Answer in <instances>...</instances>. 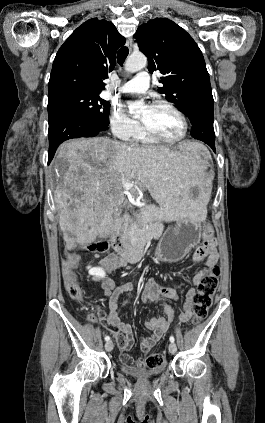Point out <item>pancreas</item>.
Segmentation results:
<instances>
[{
	"label": "pancreas",
	"instance_id": "obj_1",
	"mask_svg": "<svg viewBox=\"0 0 265 423\" xmlns=\"http://www.w3.org/2000/svg\"><path fill=\"white\" fill-rule=\"evenodd\" d=\"M163 231V224L159 220H155L149 225L131 224L127 229V236L134 244H143L153 238L156 234Z\"/></svg>",
	"mask_w": 265,
	"mask_h": 423
}]
</instances>
